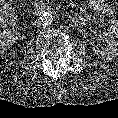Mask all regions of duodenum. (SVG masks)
Here are the masks:
<instances>
[{"mask_svg":"<svg viewBox=\"0 0 118 118\" xmlns=\"http://www.w3.org/2000/svg\"><path fill=\"white\" fill-rule=\"evenodd\" d=\"M51 9V6L41 0H35V11L39 14H43ZM73 23L77 27L83 26V20L80 16L73 18Z\"/></svg>","mask_w":118,"mask_h":118,"instance_id":"410a0bca","label":"duodenum"}]
</instances>
